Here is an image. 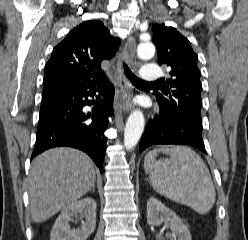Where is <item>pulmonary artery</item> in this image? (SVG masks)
Masks as SVG:
<instances>
[{"label": "pulmonary artery", "mask_w": 248, "mask_h": 240, "mask_svg": "<svg viewBox=\"0 0 248 240\" xmlns=\"http://www.w3.org/2000/svg\"><path fill=\"white\" fill-rule=\"evenodd\" d=\"M160 75V68L154 64H147L140 70V79L144 82H155L160 78Z\"/></svg>", "instance_id": "1"}]
</instances>
